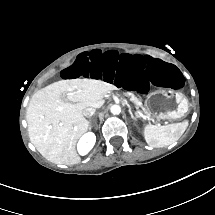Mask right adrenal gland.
Instances as JSON below:
<instances>
[{"instance_id": "2a0ac1e0", "label": "right adrenal gland", "mask_w": 215, "mask_h": 215, "mask_svg": "<svg viewBox=\"0 0 215 215\" xmlns=\"http://www.w3.org/2000/svg\"><path fill=\"white\" fill-rule=\"evenodd\" d=\"M88 128H89V130L91 129L90 121H88Z\"/></svg>"}]
</instances>
